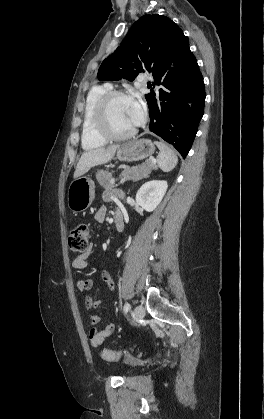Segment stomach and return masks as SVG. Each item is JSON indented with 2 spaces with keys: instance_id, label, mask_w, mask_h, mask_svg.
Segmentation results:
<instances>
[{
  "instance_id": "1",
  "label": "stomach",
  "mask_w": 264,
  "mask_h": 419,
  "mask_svg": "<svg viewBox=\"0 0 264 419\" xmlns=\"http://www.w3.org/2000/svg\"><path fill=\"white\" fill-rule=\"evenodd\" d=\"M155 146L148 139L133 140L117 148V158L120 161H139L150 157ZM95 196V186L88 177L74 179L68 188L67 204L71 211L82 212L92 203Z\"/></svg>"
}]
</instances>
